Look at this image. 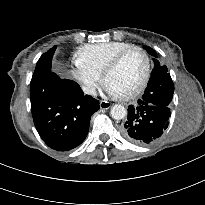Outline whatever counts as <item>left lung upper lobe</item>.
I'll return each mask as SVG.
<instances>
[{"label": "left lung upper lobe", "instance_id": "1", "mask_svg": "<svg viewBox=\"0 0 205 205\" xmlns=\"http://www.w3.org/2000/svg\"><path fill=\"white\" fill-rule=\"evenodd\" d=\"M149 54L157 57L156 52L150 47H144ZM155 66L152 71L148 86L142 99H153L155 101L170 104L174 92V85L166 66H160L154 59Z\"/></svg>", "mask_w": 205, "mask_h": 205}]
</instances>
